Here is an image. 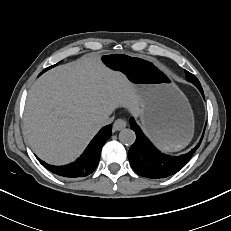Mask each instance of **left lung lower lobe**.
Returning <instances> with one entry per match:
<instances>
[{
    "instance_id": "left-lung-lower-lobe-1",
    "label": "left lung lower lobe",
    "mask_w": 231,
    "mask_h": 231,
    "mask_svg": "<svg viewBox=\"0 0 231 231\" xmlns=\"http://www.w3.org/2000/svg\"><path fill=\"white\" fill-rule=\"evenodd\" d=\"M199 90L203 95L202 87ZM130 124L136 133V141L129 149L128 158L134 171L147 178H165L177 173L190 160L203 138L189 153L172 157L157 150L133 118L130 119Z\"/></svg>"
}]
</instances>
